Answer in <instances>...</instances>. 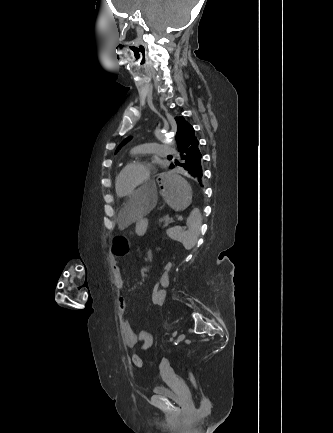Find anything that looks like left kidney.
Instances as JSON below:
<instances>
[{
  "label": "left kidney",
  "mask_w": 333,
  "mask_h": 433,
  "mask_svg": "<svg viewBox=\"0 0 333 433\" xmlns=\"http://www.w3.org/2000/svg\"><path fill=\"white\" fill-rule=\"evenodd\" d=\"M173 229H174V228H171V229L167 230V234H168L169 231H171V230H173Z\"/></svg>",
  "instance_id": "left-kidney-1"
}]
</instances>
